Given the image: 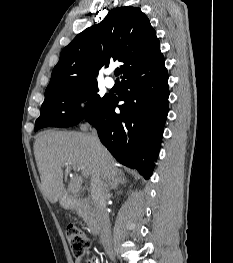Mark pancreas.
I'll use <instances>...</instances> for the list:
<instances>
[{"label": "pancreas", "instance_id": "1", "mask_svg": "<svg viewBox=\"0 0 233 263\" xmlns=\"http://www.w3.org/2000/svg\"><path fill=\"white\" fill-rule=\"evenodd\" d=\"M77 214L83 218V220L88 224L91 225L93 222V216L89 209L83 208L81 206L76 208Z\"/></svg>", "mask_w": 233, "mask_h": 263}]
</instances>
